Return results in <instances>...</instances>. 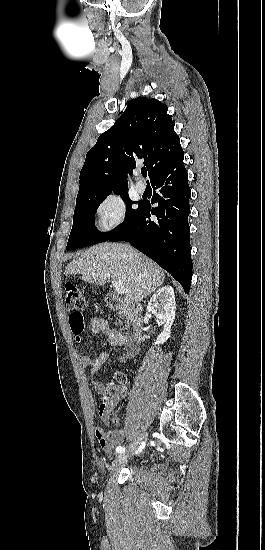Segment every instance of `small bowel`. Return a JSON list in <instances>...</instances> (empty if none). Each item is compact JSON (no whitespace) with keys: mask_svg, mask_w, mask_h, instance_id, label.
<instances>
[{"mask_svg":"<svg viewBox=\"0 0 265 550\" xmlns=\"http://www.w3.org/2000/svg\"><path fill=\"white\" fill-rule=\"evenodd\" d=\"M89 332L94 335H102L109 343L113 345L123 346L127 356H133L137 352V347L133 345V339L130 335L122 333L118 330L111 329L107 323L101 318H92ZM83 331L78 334V337H82ZM110 358V353L104 351L97 357H84L82 358V364L85 368L90 369L93 374H97L103 364ZM94 391L101 394L104 391V384L94 379L93 382ZM90 399L93 400V394L90 393ZM107 413L99 408V417L104 422L107 421ZM95 437L104 451H109L113 445L119 444L124 439V430L122 428L113 429L106 432L101 426H95Z\"/></svg>","mask_w":265,"mask_h":550,"instance_id":"c3829d8e","label":"small bowel"}]
</instances>
